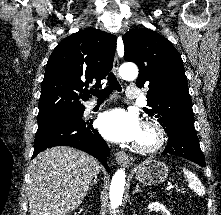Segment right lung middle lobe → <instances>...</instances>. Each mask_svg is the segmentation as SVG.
I'll return each instance as SVG.
<instances>
[{"mask_svg": "<svg viewBox=\"0 0 221 215\" xmlns=\"http://www.w3.org/2000/svg\"><path fill=\"white\" fill-rule=\"evenodd\" d=\"M84 109L85 108H81V109L63 113V114L38 117V125L47 123V122L56 121V120L80 118L81 116H83Z\"/></svg>", "mask_w": 221, "mask_h": 215, "instance_id": "right-lung-middle-lobe-1", "label": "right lung middle lobe"}]
</instances>
